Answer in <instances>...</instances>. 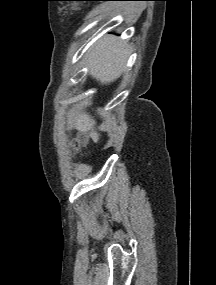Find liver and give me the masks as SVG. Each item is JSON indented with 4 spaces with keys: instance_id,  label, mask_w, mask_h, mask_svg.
Instances as JSON below:
<instances>
[{
    "instance_id": "liver-1",
    "label": "liver",
    "mask_w": 216,
    "mask_h": 285,
    "mask_svg": "<svg viewBox=\"0 0 216 285\" xmlns=\"http://www.w3.org/2000/svg\"><path fill=\"white\" fill-rule=\"evenodd\" d=\"M90 75L102 84L116 80L124 67L129 55V46L118 42L112 36H106L95 43L89 51ZM72 125L83 132L92 130L95 121L88 114H77L71 119ZM94 141L99 140V134L92 131Z\"/></svg>"
}]
</instances>
